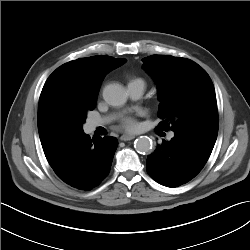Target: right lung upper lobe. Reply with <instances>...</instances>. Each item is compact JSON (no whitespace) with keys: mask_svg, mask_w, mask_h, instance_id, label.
Returning <instances> with one entry per match:
<instances>
[{"mask_svg":"<svg viewBox=\"0 0 250 250\" xmlns=\"http://www.w3.org/2000/svg\"><path fill=\"white\" fill-rule=\"evenodd\" d=\"M125 62L104 55L80 58L63 64L48 77L38 107L42 146L62 138L81 111L95 108L103 78Z\"/></svg>","mask_w":250,"mask_h":250,"instance_id":"cb5924a9","label":"right lung upper lobe"}]
</instances>
